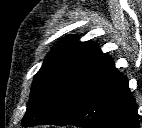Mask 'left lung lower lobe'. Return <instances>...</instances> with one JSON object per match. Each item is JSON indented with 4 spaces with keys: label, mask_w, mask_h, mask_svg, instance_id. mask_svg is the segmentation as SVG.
I'll return each mask as SVG.
<instances>
[{
    "label": "left lung lower lobe",
    "mask_w": 142,
    "mask_h": 128,
    "mask_svg": "<svg viewBox=\"0 0 142 128\" xmlns=\"http://www.w3.org/2000/svg\"><path fill=\"white\" fill-rule=\"evenodd\" d=\"M52 124L85 128H138L140 121L136 99L128 88V81L112 62L80 93L66 117Z\"/></svg>",
    "instance_id": "obj_1"
}]
</instances>
